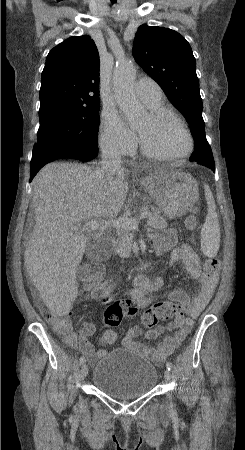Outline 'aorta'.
Masks as SVG:
<instances>
[{"mask_svg": "<svg viewBox=\"0 0 245 450\" xmlns=\"http://www.w3.org/2000/svg\"><path fill=\"white\" fill-rule=\"evenodd\" d=\"M135 78L136 69L131 62H121L116 66L113 86L117 104L131 125L138 124L146 113L133 92Z\"/></svg>", "mask_w": 245, "mask_h": 450, "instance_id": "762f6f07", "label": "aorta"}]
</instances>
